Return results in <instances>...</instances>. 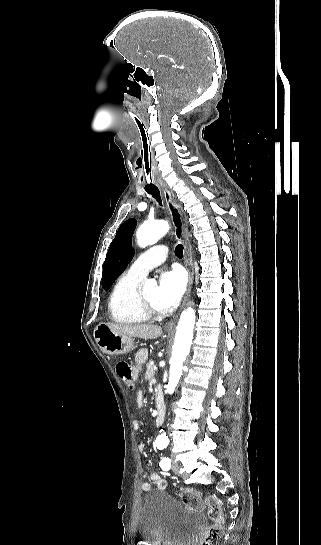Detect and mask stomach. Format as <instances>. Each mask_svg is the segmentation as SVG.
<instances>
[{"label":"stomach","mask_w":321,"mask_h":545,"mask_svg":"<svg viewBox=\"0 0 321 545\" xmlns=\"http://www.w3.org/2000/svg\"><path fill=\"white\" fill-rule=\"evenodd\" d=\"M94 339L102 353L107 355H126L134 349V339L120 335L114 329H110L106 323H100L94 329Z\"/></svg>","instance_id":"1"}]
</instances>
